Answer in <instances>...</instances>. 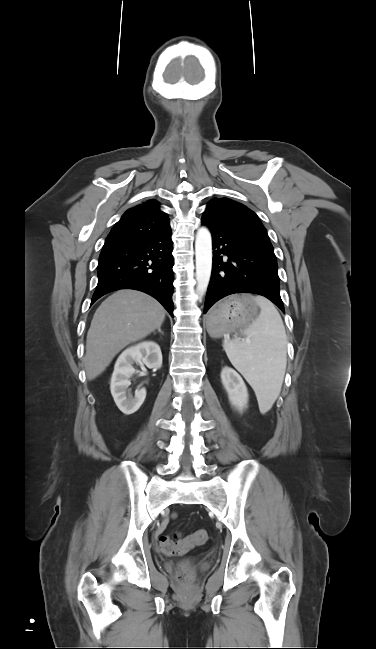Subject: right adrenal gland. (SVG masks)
<instances>
[{"label": "right adrenal gland", "mask_w": 376, "mask_h": 649, "mask_svg": "<svg viewBox=\"0 0 376 649\" xmlns=\"http://www.w3.org/2000/svg\"><path fill=\"white\" fill-rule=\"evenodd\" d=\"M158 332H159V333H160L161 335H163V332H162V330H161V328H160V327L158 328ZM153 333L155 334L156 332H155V331H153Z\"/></svg>", "instance_id": "1"}]
</instances>
